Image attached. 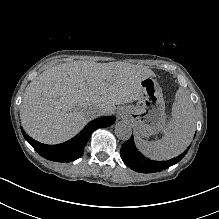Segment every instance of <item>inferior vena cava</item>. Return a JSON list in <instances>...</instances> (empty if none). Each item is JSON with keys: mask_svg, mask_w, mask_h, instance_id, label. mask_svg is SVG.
I'll list each match as a JSON object with an SVG mask.
<instances>
[{"mask_svg": "<svg viewBox=\"0 0 219 219\" xmlns=\"http://www.w3.org/2000/svg\"><path fill=\"white\" fill-rule=\"evenodd\" d=\"M90 114L93 116V117H100L102 114H103V107L100 105V104H93L91 107H90Z\"/></svg>", "mask_w": 219, "mask_h": 219, "instance_id": "1", "label": "inferior vena cava"}]
</instances>
